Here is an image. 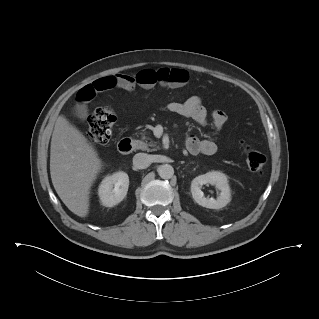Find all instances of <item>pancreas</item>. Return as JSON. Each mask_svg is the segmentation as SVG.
<instances>
[{"label": "pancreas", "instance_id": "obj_1", "mask_svg": "<svg viewBox=\"0 0 319 319\" xmlns=\"http://www.w3.org/2000/svg\"><path fill=\"white\" fill-rule=\"evenodd\" d=\"M136 147L137 149L148 152L156 151L159 149L157 143L152 141L149 137L145 136V133L142 134L141 140L136 141Z\"/></svg>", "mask_w": 319, "mask_h": 319}]
</instances>
